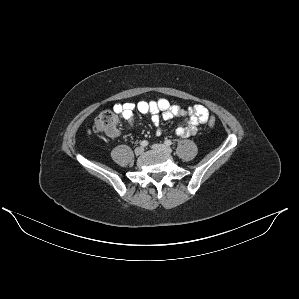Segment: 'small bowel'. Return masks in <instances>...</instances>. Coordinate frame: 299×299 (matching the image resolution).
Here are the masks:
<instances>
[{"label": "small bowel", "instance_id": "small-bowel-1", "mask_svg": "<svg viewBox=\"0 0 299 299\" xmlns=\"http://www.w3.org/2000/svg\"><path fill=\"white\" fill-rule=\"evenodd\" d=\"M113 110L119 115L121 120L128 123L133 121L135 111L150 115L158 135L162 133L159 127L162 119L170 120L176 116H188L186 124L176 129V134L183 138L195 135L200 129V126L206 123L209 118V111L202 105H195L184 109L178 105L171 104L164 98L152 101L141 100L138 102L116 103L113 106ZM109 135L111 137H117L119 136V131L116 130Z\"/></svg>", "mask_w": 299, "mask_h": 299}]
</instances>
